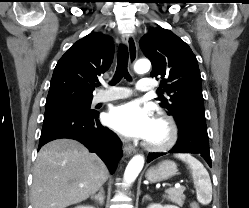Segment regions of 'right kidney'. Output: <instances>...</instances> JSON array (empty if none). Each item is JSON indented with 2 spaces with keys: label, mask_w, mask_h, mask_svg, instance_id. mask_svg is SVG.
<instances>
[{
  "label": "right kidney",
  "mask_w": 249,
  "mask_h": 208,
  "mask_svg": "<svg viewBox=\"0 0 249 208\" xmlns=\"http://www.w3.org/2000/svg\"><path fill=\"white\" fill-rule=\"evenodd\" d=\"M76 208H94V207H91V206H79V207H76Z\"/></svg>",
  "instance_id": "obj_1"
}]
</instances>
